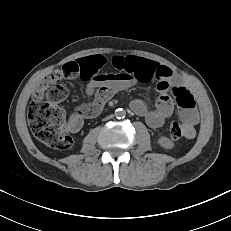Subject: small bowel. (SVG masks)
I'll use <instances>...</instances> for the list:
<instances>
[{
	"label": "small bowel",
	"instance_id": "c3829d8e",
	"mask_svg": "<svg viewBox=\"0 0 231 231\" xmlns=\"http://www.w3.org/2000/svg\"><path fill=\"white\" fill-rule=\"evenodd\" d=\"M68 64L78 67L76 75L66 76L63 70L53 73L38 87L34 97H41L47 86L63 77L70 79L81 77L86 81V93L92 98V101L78 107L75 114L79 115L81 120L78 125L70 127L69 131L77 132L81 128L84 118L98 115L105 103L115 93L128 89L138 82L157 80L156 90L159 96L155 106L150 107L143 99H133L130 102L131 110L138 116L144 117L151 128H159L173 115L172 95L178 105L185 137L190 139L195 137V126L199 121V116L194 97L188 86L170 68L137 56L107 58L102 55H92L66 65ZM107 67L114 68L115 72H105Z\"/></svg>",
	"mask_w": 231,
	"mask_h": 231
}]
</instances>
